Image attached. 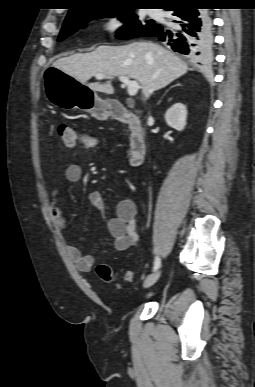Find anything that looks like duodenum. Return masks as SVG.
<instances>
[{
  "mask_svg": "<svg viewBox=\"0 0 255 387\" xmlns=\"http://www.w3.org/2000/svg\"><path fill=\"white\" fill-rule=\"evenodd\" d=\"M111 118L126 124L129 127V164L137 167L142 164L146 154L144 131L138 118L125 110L119 103H112L109 107Z\"/></svg>",
  "mask_w": 255,
  "mask_h": 387,
  "instance_id": "duodenum-1",
  "label": "duodenum"
}]
</instances>
